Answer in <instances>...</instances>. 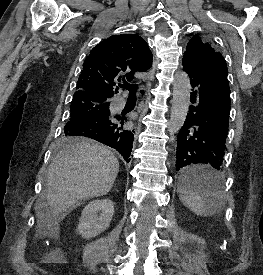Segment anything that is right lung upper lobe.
<instances>
[{
	"mask_svg": "<svg viewBox=\"0 0 263 275\" xmlns=\"http://www.w3.org/2000/svg\"><path fill=\"white\" fill-rule=\"evenodd\" d=\"M151 65L152 53L139 35L110 36L86 57L74 96L93 94L109 99L118 93L113 90L117 81H131L134 72H145ZM126 71L130 72L123 75Z\"/></svg>",
	"mask_w": 263,
	"mask_h": 275,
	"instance_id": "1",
	"label": "right lung upper lobe"
}]
</instances>
